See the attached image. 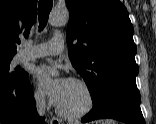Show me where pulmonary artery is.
<instances>
[{"instance_id": "e3ab8cb5", "label": "pulmonary artery", "mask_w": 156, "mask_h": 124, "mask_svg": "<svg viewBox=\"0 0 156 124\" xmlns=\"http://www.w3.org/2000/svg\"><path fill=\"white\" fill-rule=\"evenodd\" d=\"M64 39L62 36H55L50 41L24 49L18 56L19 62L33 60L48 55H59L64 50Z\"/></svg>"}]
</instances>
